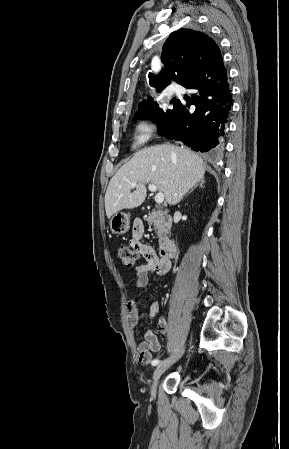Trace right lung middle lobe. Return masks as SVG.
I'll use <instances>...</instances> for the list:
<instances>
[{"mask_svg": "<svg viewBox=\"0 0 289 449\" xmlns=\"http://www.w3.org/2000/svg\"><path fill=\"white\" fill-rule=\"evenodd\" d=\"M171 102L176 101L172 100ZM174 107L172 110H163L158 107L152 98H148L139 104V109L135 113V116L137 119H145V116H147V118L154 120L158 125V133H161L169 124L173 115ZM136 118L133 119L134 122L136 121Z\"/></svg>", "mask_w": 289, "mask_h": 449, "instance_id": "obj_1", "label": "right lung middle lobe"}]
</instances>
